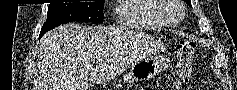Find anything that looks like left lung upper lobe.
Returning <instances> with one entry per match:
<instances>
[{
	"mask_svg": "<svg viewBox=\"0 0 237 90\" xmlns=\"http://www.w3.org/2000/svg\"><path fill=\"white\" fill-rule=\"evenodd\" d=\"M185 2H186L189 6H191V1H190V0H185Z\"/></svg>",
	"mask_w": 237,
	"mask_h": 90,
	"instance_id": "obj_1",
	"label": "left lung upper lobe"
}]
</instances>
